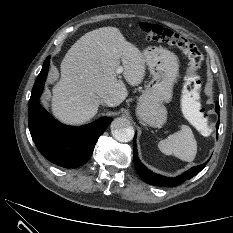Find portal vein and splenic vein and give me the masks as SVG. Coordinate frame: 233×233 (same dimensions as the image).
Instances as JSON below:
<instances>
[{"mask_svg": "<svg viewBox=\"0 0 233 233\" xmlns=\"http://www.w3.org/2000/svg\"><path fill=\"white\" fill-rule=\"evenodd\" d=\"M123 72V67L122 66H119L117 69H116V73L117 74H121Z\"/></svg>", "mask_w": 233, "mask_h": 233, "instance_id": "1", "label": "portal vein and splenic vein"}]
</instances>
